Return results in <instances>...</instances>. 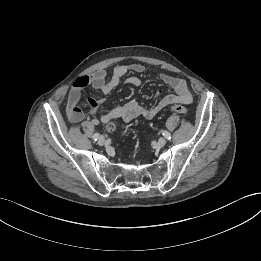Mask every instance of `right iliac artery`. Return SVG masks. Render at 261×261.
<instances>
[{
	"mask_svg": "<svg viewBox=\"0 0 261 261\" xmlns=\"http://www.w3.org/2000/svg\"><path fill=\"white\" fill-rule=\"evenodd\" d=\"M99 138V133H95L94 135H93V140H97Z\"/></svg>",
	"mask_w": 261,
	"mask_h": 261,
	"instance_id": "1",
	"label": "right iliac artery"
}]
</instances>
